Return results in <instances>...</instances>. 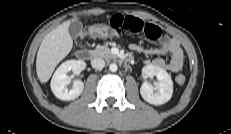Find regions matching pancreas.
<instances>
[{
	"label": "pancreas",
	"mask_w": 231,
	"mask_h": 134,
	"mask_svg": "<svg viewBox=\"0 0 231 134\" xmlns=\"http://www.w3.org/2000/svg\"><path fill=\"white\" fill-rule=\"evenodd\" d=\"M92 56L94 57H102L105 59H114L116 58L110 51L107 46H98L95 50L91 52Z\"/></svg>",
	"instance_id": "obj_1"
}]
</instances>
